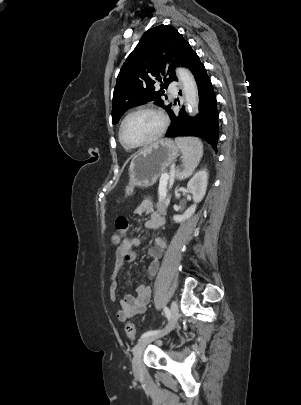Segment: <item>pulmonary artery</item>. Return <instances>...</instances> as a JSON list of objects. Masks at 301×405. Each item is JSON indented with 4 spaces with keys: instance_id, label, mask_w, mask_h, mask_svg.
<instances>
[{
    "instance_id": "e3ab8cb5",
    "label": "pulmonary artery",
    "mask_w": 301,
    "mask_h": 405,
    "mask_svg": "<svg viewBox=\"0 0 301 405\" xmlns=\"http://www.w3.org/2000/svg\"><path fill=\"white\" fill-rule=\"evenodd\" d=\"M169 91H170L171 93H173V94H176V93H177V88H176V86H175L174 83H171V84L169 85Z\"/></svg>"
}]
</instances>
